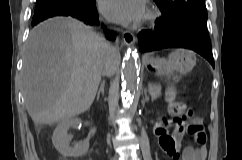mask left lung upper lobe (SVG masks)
Segmentation results:
<instances>
[{
	"label": "left lung upper lobe",
	"instance_id": "5c2ea615",
	"mask_svg": "<svg viewBox=\"0 0 242 160\" xmlns=\"http://www.w3.org/2000/svg\"><path fill=\"white\" fill-rule=\"evenodd\" d=\"M163 18L174 23L207 21L205 0H154Z\"/></svg>",
	"mask_w": 242,
	"mask_h": 160
}]
</instances>
